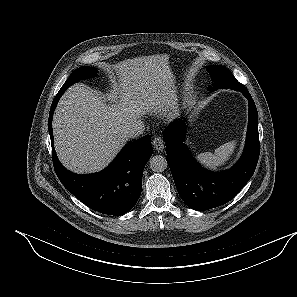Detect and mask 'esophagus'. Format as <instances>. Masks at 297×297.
Instances as JSON below:
<instances>
[{"label": "esophagus", "instance_id": "34e87169", "mask_svg": "<svg viewBox=\"0 0 297 297\" xmlns=\"http://www.w3.org/2000/svg\"><path fill=\"white\" fill-rule=\"evenodd\" d=\"M152 145H153L154 149L157 151H162L164 149V142L160 136H156L153 139Z\"/></svg>", "mask_w": 297, "mask_h": 297}]
</instances>
